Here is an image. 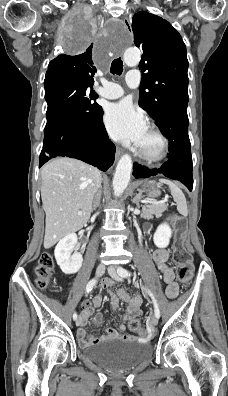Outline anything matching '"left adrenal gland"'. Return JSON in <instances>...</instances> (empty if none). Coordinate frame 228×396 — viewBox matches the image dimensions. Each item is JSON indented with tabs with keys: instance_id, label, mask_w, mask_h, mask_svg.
Instances as JSON below:
<instances>
[{
	"instance_id": "a2214340",
	"label": "left adrenal gland",
	"mask_w": 228,
	"mask_h": 396,
	"mask_svg": "<svg viewBox=\"0 0 228 396\" xmlns=\"http://www.w3.org/2000/svg\"><path fill=\"white\" fill-rule=\"evenodd\" d=\"M141 198H142V191L139 190V193L134 197L133 202H134L137 206H139V202H140Z\"/></svg>"
}]
</instances>
